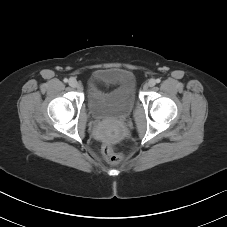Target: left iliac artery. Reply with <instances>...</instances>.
I'll use <instances>...</instances> for the list:
<instances>
[{"label": "left iliac artery", "mask_w": 227, "mask_h": 227, "mask_svg": "<svg viewBox=\"0 0 227 227\" xmlns=\"http://www.w3.org/2000/svg\"><path fill=\"white\" fill-rule=\"evenodd\" d=\"M161 82V80L158 78V79H156V83H160Z\"/></svg>", "instance_id": "left-iliac-artery-1"}]
</instances>
